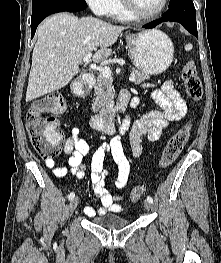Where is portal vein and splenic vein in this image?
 I'll return each mask as SVG.
<instances>
[{
	"label": "portal vein and splenic vein",
	"mask_w": 221,
	"mask_h": 263,
	"mask_svg": "<svg viewBox=\"0 0 221 263\" xmlns=\"http://www.w3.org/2000/svg\"><path fill=\"white\" fill-rule=\"evenodd\" d=\"M91 57H92V53L90 52V53H87L85 56H84V58H83V62L85 63V64H87L88 62H89V60L91 59ZM90 68H92L93 70H97V71H99L104 77H110L111 76V70H110V68L109 67H106V66H104V67H102V66H97L96 64H91L90 65ZM134 79H135V76L132 74L130 77H129V80L130 81H134Z\"/></svg>",
	"instance_id": "obj_1"
}]
</instances>
